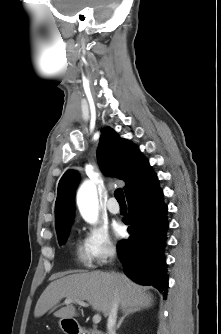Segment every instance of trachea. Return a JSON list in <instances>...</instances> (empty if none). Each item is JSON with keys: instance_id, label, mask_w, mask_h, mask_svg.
Returning a JSON list of instances; mask_svg holds the SVG:
<instances>
[{"instance_id": "3493384b", "label": "trachea", "mask_w": 221, "mask_h": 334, "mask_svg": "<svg viewBox=\"0 0 221 334\" xmlns=\"http://www.w3.org/2000/svg\"><path fill=\"white\" fill-rule=\"evenodd\" d=\"M115 198L117 199V201L119 203H125V197H124V193L123 190L121 188L117 189L114 193Z\"/></svg>"}]
</instances>
